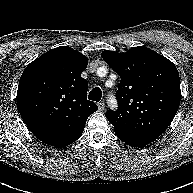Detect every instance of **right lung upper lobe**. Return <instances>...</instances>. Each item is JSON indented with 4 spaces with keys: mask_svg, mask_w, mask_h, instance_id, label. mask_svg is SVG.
Returning <instances> with one entry per match:
<instances>
[{
    "mask_svg": "<svg viewBox=\"0 0 193 193\" xmlns=\"http://www.w3.org/2000/svg\"><path fill=\"white\" fill-rule=\"evenodd\" d=\"M86 56L68 46L52 49L31 62L18 85L17 106L29 130L48 145L81 134L98 110L87 100L88 82L80 74Z\"/></svg>",
    "mask_w": 193,
    "mask_h": 193,
    "instance_id": "right-lung-upper-lobe-1",
    "label": "right lung upper lobe"
}]
</instances>
